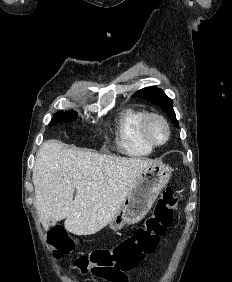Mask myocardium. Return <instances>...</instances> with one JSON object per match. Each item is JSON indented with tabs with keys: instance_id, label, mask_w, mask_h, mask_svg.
I'll return each mask as SVG.
<instances>
[{
	"instance_id": "obj_1",
	"label": "myocardium",
	"mask_w": 232,
	"mask_h": 282,
	"mask_svg": "<svg viewBox=\"0 0 232 282\" xmlns=\"http://www.w3.org/2000/svg\"><path fill=\"white\" fill-rule=\"evenodd\" d=\"M152 121L160 122L165 128V131H166L165 138L160 142L155 141L150 136L149 126H150V123ZM139 135H140L141 139L147 145H149L150 147H152V148L161 147V146L165 145L170 139V135H171L170 125H169L168 121L166 120V118L164 116H162L161 114L155 113V112H148V113H145V115L142 117V119L140 121Z\"/></svg>"
}]
</instances>
